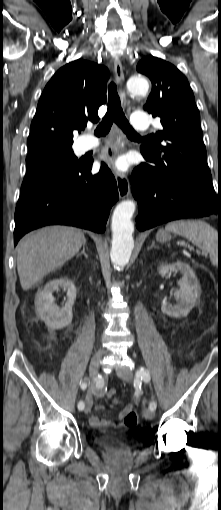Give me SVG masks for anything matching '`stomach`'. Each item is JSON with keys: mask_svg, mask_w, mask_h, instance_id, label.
<instances>
[{"mask_svg": "<svg viewBox=\"0 0 221 510\" xmlns=\"http://www.w3.org/2000/svg\"><path fill=\"white\" fill-rule=\"evenodd\" d=\"M156 239L160 242H166L171 239V235L169 232L160 229L156 234Z\"/></svg>", "mask_w": 221, "mask_h": 510, "instance_id": "obj_1", "label": "stomach"}]
</instances>
